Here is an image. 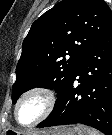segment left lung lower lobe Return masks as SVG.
Listing matches in <instances>:
<instances>
[{
  "mask_svg": "<svg viewBox=\"0 0 112 135\" xmlns=\"http://www.w3.org/2000/svg\"><path fill=\"white\" fill-rule=\"evenodd\" d=\"M77 123L112 135V24L84 55L53 111L37 127Z\"/></svg>",
  "mask_w": 112,
  "mask_h": 135,
  "instance_id": "0a47b994",
  "label": "left lung lower lobe"
}]
</instances>
